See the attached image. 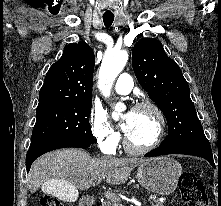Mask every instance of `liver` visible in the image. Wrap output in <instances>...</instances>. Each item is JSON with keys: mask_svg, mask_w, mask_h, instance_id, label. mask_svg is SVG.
<instances>
[{"mask_svg": "<svg viewBox=\"0 0 221 206\" xmlns=\"http://www.w3.org/2000/svg\"><path fill=\"white\" fill-rule=\"evenodd\" d=\"M144 159L100 157L92 158L81 149H63L49 152L38 158L28 176L31 193L39 188L51 193V183L65 184L70 201L78 196V189L90 188L102 179L110 184L125 183L131 171Z\"/></svg>", "mask_w": 221, "mask_h": 206, "instance_id": "obj_1", "label": "liver"}]
</instances>
